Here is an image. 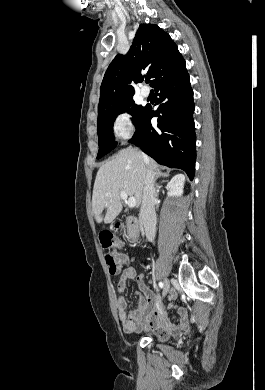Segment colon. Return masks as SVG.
<instances>
[{
    "label": "colon",
    "instance_id": "5ec220e1",
    "mask_svg": "<svg viewBox=\"0 0 265 390\" xmlns=\"http://www.w3.org/2000/svg\"><path fill=\"white\" fill-rule=\"evenodd\" d=\"M101 243L107 252L105 253V261L111 275L119 273L123 266L124 256L119 252L120 240L111 232H106L101 236Z\"/></svg>",
    "mask_w": 265,
    "mask_h": 390
}]
</instances>
